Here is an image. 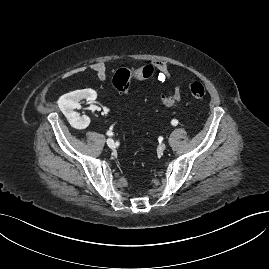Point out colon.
Returning a JSON list of instances; mask_svg holds the SVG:
<instances>
[{
	"label": "colon",
	"instance_id": "5ec220e1",
	"mask_svg": "<svg viewBox=\"0 0 269 269\" xmlns=\"http://www.w3.org/2000/svg\"><path fill=\"white\" fill-rule=\"evenodd\" d=\"M155 71L156 70L154 66L152 65L145 66L141 69L140 78L147 79L151 77L155 73ZM133 78L135 77L132 71L128 69H119L115 73L112 82H113L114 87L119 92L123 94H127L130 89ZM190 93H191L192 98L195 101H198V102L202 101L206 95L205 87L200 82H194L190 86Z\"/></svg>",
	"mask_w": 269,
	"mask_h": 269
}]
</instances>
